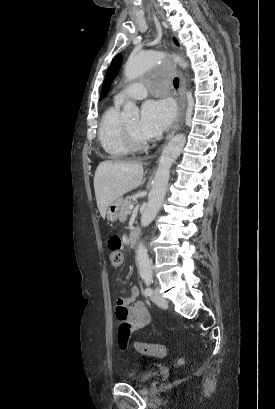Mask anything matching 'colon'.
<instances>
[{
	"instance_id": "obj_1",
	"label": "colon",
	"mask_w": 275,
	"mask_h": 409,
	"mask_svg": "<svg viewBox=\"0 0 275 409\" xmlns=\"http://www.w3.org/2000/svg\"><path fill=\"white\" fill-rule=\"evenodd\" d=\"M108 248L111 250V262L115 270L122 268L124 254L121 251L122 241L118 234L111 235L107 240ZM136 351H141L143 358H164L168 344L166 342H135Z\"/></svg>"
}]
</instances>
